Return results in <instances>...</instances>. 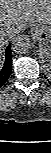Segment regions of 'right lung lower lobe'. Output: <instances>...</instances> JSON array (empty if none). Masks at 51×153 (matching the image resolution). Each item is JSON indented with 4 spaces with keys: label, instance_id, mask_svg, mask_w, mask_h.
I'll return each instance as SVG.
<instances>
[{
    "label": "right lung lower lobe",
    "instance_id": "obj_1",
    "mask_svg": "<svg viewBox=\"0 0 51 153\" xmlns=\"http://www.w3.org/2000/svg\"><path fill=\"white\" fill-rule=\"evenodd\" d=\"M12 56H11V44L8 45L5 51V63L0 70V87L6 82L12 71Z\"/></svg>",
    "mask_w": 51,
    "mask_h": 153
}]
</instances>
